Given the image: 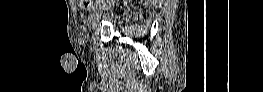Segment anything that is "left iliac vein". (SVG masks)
Masks as SVG:
<instances>
[{
  "label": "left iliac vein",
  "mask_w": 263,
  "mask_h": 92,
  "mask_svg": "<svg viewBox=\"0 0 263 92\" xmlns=\"http://www.w3.org/2000/svg\"><path fill=\"white\" fill-rule=\"evenodd\" d=\"M96 10L95 13L92 16V23H93V28H95L97 22L101 18V14L104 12L103 9V0H96Z\"/></svg>",
  "instance_id": "left-iliac-vein-1"
}]
</instances>
